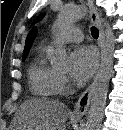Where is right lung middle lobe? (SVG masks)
Wrapping results in <instances>:
<instances>
[{"label":"right lung middle lobe","mask_w":123,"mask_h":130,"mask_svg":"<svg viewBox=\"0 0 123 130\" xmlns=\"http://www.w3.org/2000/svg\"><path fill=\"white\" fill-rule=\"evenodd\" d=\"M26 56H27V55H24V56H23V61L26 59Z\"/></svg>","instance_id":"1"}]
</instances>
